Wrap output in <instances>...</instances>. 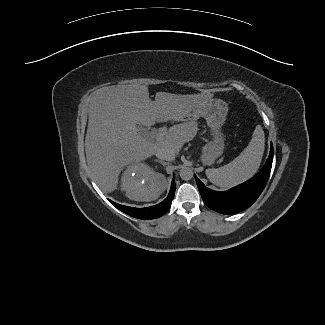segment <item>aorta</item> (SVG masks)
I'll list each match as a JSON object with an SVG mask.
<instances>
[{"label":"aorta","instance_id":"762f6f07","mask_svg":"<svg viewBox=\"0 0 325 325\" xmlns=\"http://www.w3.org/2000/svg\"><path fill=\"white\" fill-rule=\"evenodd\" d=\"M180 177L185 181L191 180L193 178V170L190 167H182L180 169Z\"/></svg>","mask_w":325,"mask_h":325}]
</instances>
